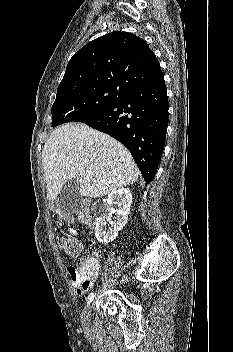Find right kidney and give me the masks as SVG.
<instances>
[{
  "label": "right kidney",
  "mask_w": 233,
  "mask_h": 352,
  "mask_svg": "<svg viewBox=\"0 0 233 352\" xmlns=\"http://www.w3.org/2000/svg\"><path fill=\"white\" fill-rule=\"evenodd\" d=\"M131 203L132 194L127 188H120L108 195L105 213L98 216L95 223V237L99 242L109 243L116 239L118 232L127 223ZM115 204L118 206L117 209L113 208ZM107 222L110 225L108 229H106Z\"/></svg>",
  "instance_id": "1"
}]
</instances>
